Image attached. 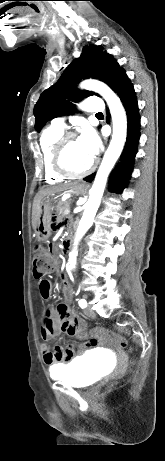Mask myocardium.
Masks as SVG:
<instances>
[{
	"label": "myocardium",
	"instance_id": "obj_1",
	"mask_svg": "<svg viewBox=\"0 0 165 461\" xmlns=\"http://www.w3.org/2000/svg\"><path fill=\"white\" fill-rule=\"evenodd\" d=\"M76 137L74 132L63 133L55 142L52 148L51 163L53 169L64 177H83L91 173L98 163L96 158H93L90 165L82 171H74L70 169L65 162V150L67 143Z\"/></svg>",
	"mask_w": 165,
	"mask_h": 461
}]
</instances>
